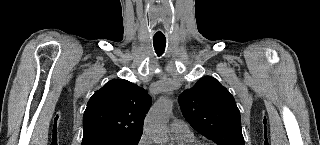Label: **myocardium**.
<instances>
[{"mask_svg": "<svg viewBox=\"0 0 320 145\" xmlns=\"http://www.w3.org/2000/svg\"><path fill=\"white\" fill-rule=\"evenodd\" d=\"M190 145H208V144L203 143V142H193Z\"/></svg>", "mask_w": 320, "mask_h": 145, "instance_id": "myocardium-1", "label": "myocardium"}]
</instances>
